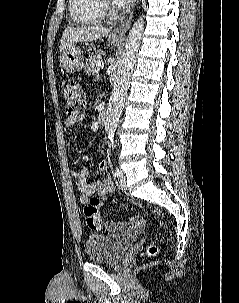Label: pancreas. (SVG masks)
Segmentation results:
<instances>
[{"label":"pancreas","mask_w":239,"mask_h":303,"mask_svg":"<svg viewBox=\"0 0 239 303\" xmlns=\"http://www.w3.org/2000/svg\"><path fill=\"white\" fill-rule=\"evenodd\" d=\"M103 51L96 50L93 52L88 59H86L84 64V70L89 74H96L99 71L97 64L102 61L101 55Z\"/></svg>","instance_id":"obj_1"}]
</instances>
